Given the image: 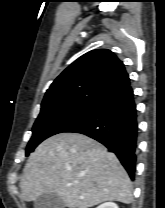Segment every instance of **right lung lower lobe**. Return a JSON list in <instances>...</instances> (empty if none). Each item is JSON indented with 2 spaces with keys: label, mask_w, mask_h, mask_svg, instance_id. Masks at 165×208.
Wrapping results in <instances>:
<instances>
[{
  "label": "right lung lower lobe",
  "mask_w": 165,
  "mask_h": 208,
  "mask_svg": "<svg viewBox=\"0 0 165 208\" xmlns=\"http://www.w3.org/2000/svg\"><path fill=\"white\" fill-rule=\"evenodd\" d=\"M65 132L81 133L105 145L134 180L138 124L130 85L100 100L86 117Z\"/></svg>",
  "instance_id": "1"
}]
</instances>
